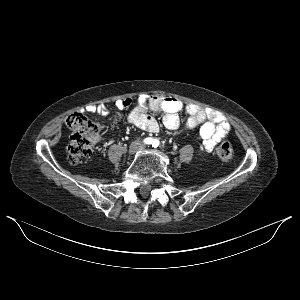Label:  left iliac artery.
<instances>
[{
	"label": "left iliac artery",
	"mask_w": 300,
	"mask_h": 300,
	"mask_svg": "<svg viewBox=\"0 0 300 300\" xmlns=\"http://www.w3.org/2000/svg\"><path fill=\"white\" fill-rule=\"evenodd\" d=\"M152 146L154 148H157L159 146V141L158 140H154Z\"/></svg>",
	"instance_id": "obj_1"
}]
</instances>
